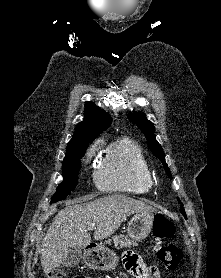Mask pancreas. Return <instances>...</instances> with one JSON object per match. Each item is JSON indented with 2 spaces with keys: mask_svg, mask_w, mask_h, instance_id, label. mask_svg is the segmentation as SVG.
Masks as SVG:
<instances>
[{
  "mask_svg": "<svg viewBox=\"0 0 221 278\" xmlns=\"http://www.w3.org/2000/svg\"><path fill=\"white\" fill-rule=\"evenodd\" d=\"M113 242L116 248L131 247L135 245L134 241H131L129 238L124 236H114L112 239H109L108 243Z\"/></svg>",
  "mask_w": 221,
  "mask_h": 278,
  "instance_id": "pancreas-1",
  "label": "pancreas"
}]
</instances>
